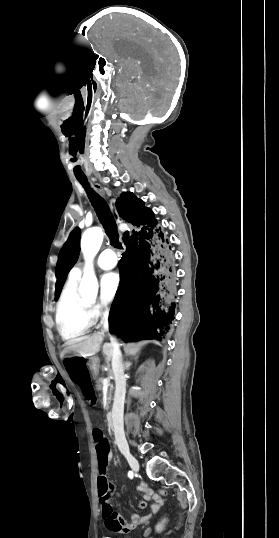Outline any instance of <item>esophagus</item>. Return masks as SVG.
<instances>
[{"instance_id":"34e87169","label":"esophagus","mask_w":279,"mask_h":538,"mask_svg":"<svg viewBox=\"0 0 279 538\" xmlns=\"http://www.w3.org/2000/svg\"><path fill=\"white\" fill-rule=\"evenodd\" d=\"M110 208H111L114 220L116 221V223H119L121 219H120V216H119V214H118V212L116 210L115 200L114 199L110 200Z\"/></svg>"}]
</instances>
